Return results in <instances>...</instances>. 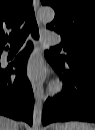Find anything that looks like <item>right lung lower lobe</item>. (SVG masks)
<instances>
[{"label": "right lung lower lobe", "mask_w": 95, "mask_h": 130, "mask_svg": "<svg viewBox=\"0 0 95 130\" xmlns=\"http://www.w3.org/2000/svg\"><path fill=\"white\" fill-rule=\"evenodd\" d=\"M30 51L31 44L13 63L17 69L15 78H10L14 73L11 67L1 69L0 66V114L16 120H24L31 125L34 97L25 71Z\"/></svg>", "instance_id": "98d812e1"}]
</instances>
